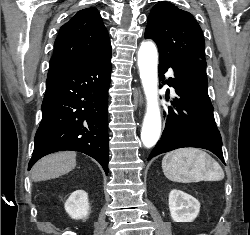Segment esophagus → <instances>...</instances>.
<instances>
[{
  "label": "esophagus",
  "instance_id": "esophagus-1",
  "mask_svg": "<svg viewBox=\"0 0 250 235\" xmlns=\"http://www.w3.org/2000/svg\"><path fill=\"white\" fill-rule=\"evenodd\" d=\"M134 101L137 106H141L143 104V97L140 91H137L134 95Z\"/></svg>",
  "mask_w": 250,
  "mask_h": 235
}]
</instances>
